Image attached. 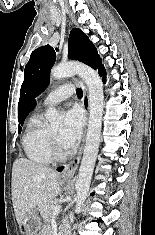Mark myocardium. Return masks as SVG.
<instances>
[{
	"mask_svg": "<svg viewBox=\"0 0 155 235\" xmlns=\"http://www.w3.org/2000/svg\"><path fill=\"white\" fill-rule=\"evenodd\" d=\"M49 144H50V153L53 159L63 160L67 157V153L64 151L62 146L59 144L57 138L54 134L49 131Z\"/></svg>",
	"mask_w": 155,
	"mask_h": 235,
	"instance_id": "1",
	"label": "myocardium"
}]
</instances>
